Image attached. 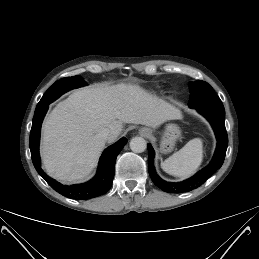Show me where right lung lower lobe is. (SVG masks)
I'll return each mask as SVG.
<instances>
[{"label": "right lung lower lobe", "mask_w": 259, "mask_h": 259, "mask_svg": "<svg viewBox=\"0 0 259 259\" xmlns=\"http://www.w3.org/2000/svg\"><path fill=\"white\" fill-rule=\"evenodd\" d=\"M49 105H45L41 108H37L34 113V118L32 122V128L30 132V151L33 164L37 170V172L41 175L43 179L47 181V183L60 194L76 199V200H87L91 198L98 197L104 193H106L113 181L114 177V167L115 161L127 143V139L125 137L121 138L115 144L109 146L102 154L97 175L87 183L65 186L61 183L56 182L51 179L41 169L40 165V156H39V139H40V129L43 118L48 110Z\"/></svg>", "instance_id": "98d812e1"}]
</instances>
